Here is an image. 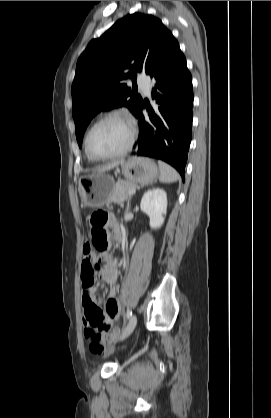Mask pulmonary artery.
Returning a JSON list of instances; mask_svg holds the SVG:
<instances>
[{"label": "pulmonary artery", "instance_id": "pulmonary-artery-1", "mask_svg": "<svg viewBox=\"0 0 271 418\" xmlns=\"http://www.w3.org/2000/svg\"><path fill=\"white\" fill-rule=\"evenodd\" d=\"M138 85L140 86L141 90L145 93V94H149L150 91V78L148 76L145 75H141L138 77Z\"/></svg>", "mask_w": 271, "mask_h": 418}]
</instances>
